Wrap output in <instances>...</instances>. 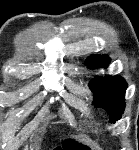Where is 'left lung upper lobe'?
Segmentation results:
<instances>
[{"label": "left lung upper lobe", "mask_w": 139, "mask_h": 150, "mask_svg": "<svg viewBox=\"0 0 139 150\" xmlns=\"http://www.w3.org/2000/svg\"><path fill=\"white\" fill-rule=\"evenodd\" d=\"M109 61L110 58L107 56L92 55L86 59L85 64L95 69L107 66ZM89 87L94 93L93 104L108 112L110 122L119 120L125 107V80L121 76L98 77L89 82Z\"/></svg>", "instance_id": "obj_1"}]
</instances>
